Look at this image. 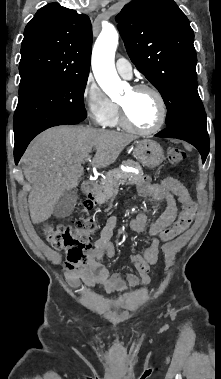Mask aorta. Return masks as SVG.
<instances>
[{"instance_id":"aorta-1","label":"aorta","mask_w":221,"mask_h":379,"mask_svg":"<svg viewBox=\"0 0 221 379\" xmlns=\"http://www.w3.org/2000/svg\"><path fill=\"white\" fill-rule=\"evenodd\" d=\"M119 35L113 26L105 27L92 52V70L102 90L116 100L122 93V82L116 72L114 57Z\"/></svg>"}]
</instances>
